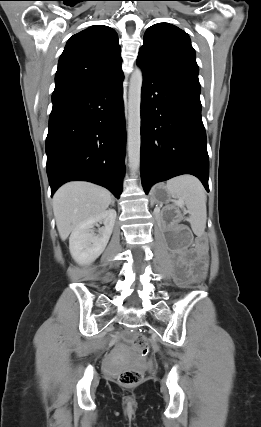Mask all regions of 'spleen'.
<instances>
[{
	"mask_svg": "<svg viewBox=\"0 0 261 427\" xmlns=\"http://www.w3.org/2000/svg\"><path fill=\"white\" fill-rule=\"evenodd\" d=\"M166 188L173 198L177 199L178 205L187 207L193 232L202 236L206 227L207 196L201 182L190 175H183L167 181Z\"/></svg>",
	"mask_w": 261,
	"mask_h": 427,
	"instance_id": "3e777b00",
	"label": "spleen"
}]
</instances>
